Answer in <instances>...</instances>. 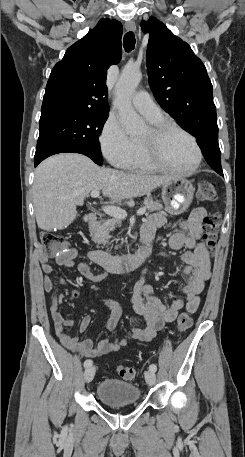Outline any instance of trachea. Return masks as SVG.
<instances>
[{"label":"trachea","mask_w":245,"mask_h":457,"mask_svg":"<svg viewBox=\"0 0 245 457\" xmlns=\"http://www.w3.org/2000/svg\"><path fill=\"white\" fill-rule=\"evenodd\" d=\"M135 36L133 32H128L125 34L123 39V46L127 52H130L135 47Z\"/></svg>","instance_id":"1"}]
</instances>
